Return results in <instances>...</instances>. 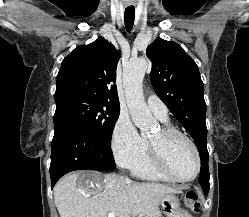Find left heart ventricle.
Returning a JSON list of instances; mask_svg holds the SVG:
<instances>
[{"label": "left heart ventricle", "mask_w": 249, "mask_h": 217, "mask_svg": "<svg viewBox=\"0 0 249 217\" xmlns=\"http://www.w3.org/2000/svg\"><path fill=\"white\" fill-rule=\"evenodd\" d=\"M149 140L163 146L168 166L176 176L187 178L193 175L196 169V158L192 148L185 140L181 138L165 140L160 130Z\"/></svg>", "instance_id": "obj_1"}]
</instances>
